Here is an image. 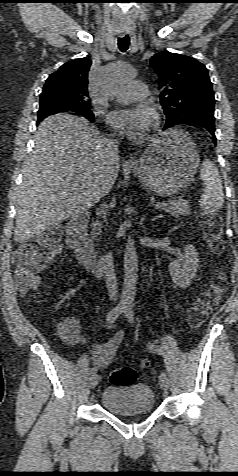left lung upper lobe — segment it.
<instances>
[{"label": "left lung upper lobe", "mask_w": 238, "mask_h": 476, "mask_svg": "<svg viewBox=\"0 0 238 476\" xmlns=\"http://www.w3.org/2000/svg\"><path fill=\"white\" fill-rule=\"evenodd\" d=\"M150 66L159 76L160 101L167 117L164 128L215 121L212 83L202 63L165 50L150 59Z\"/></svg>", "instance_id": "left-lung-upper-lobe-1"}]
</instances>
